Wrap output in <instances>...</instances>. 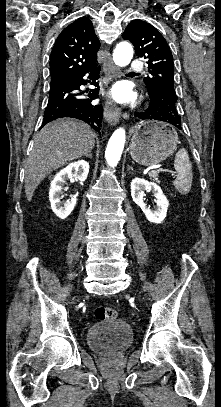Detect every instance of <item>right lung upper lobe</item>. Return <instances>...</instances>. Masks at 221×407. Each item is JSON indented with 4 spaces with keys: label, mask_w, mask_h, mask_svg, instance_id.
<instances>
[{
    "label": "right lung upper lobe",
    "mask_w": 221,
    "mask_h": 407,
    "mask_svg": "<svg viewBox=\"0 0 221 407\" xmlns=\"http://www.w3.org/2000/svg\"><path fill=\"white\" fill-rule=\"evenodd\" d=\"M100 43L90 19L80 18L58 36L50 56V86L61 83L97 64Z\"/></svg>",
    "instance_id": "1"
}]
</instances>
